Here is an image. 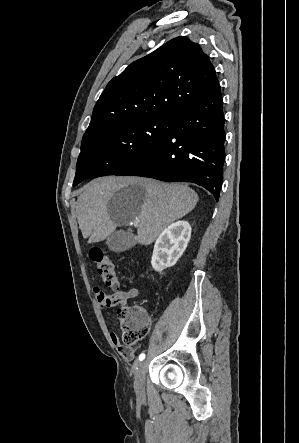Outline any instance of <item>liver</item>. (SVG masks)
I'll use <instances>...</instances> for the list:
<instances>
[{"mask_svg":"<svg viewBox=\"0 0 299 443\" xmlns=\"http://www.w3.org/2000/svg\"><path fill=\"white\" fill-rule=\"evenodd\" d=\"M197 202V193L187 185L107 176L81 189L76 215L83 238H88L90 244L103 241L118 226L138 218L137 243L150 245L168 225L191 212Z\"/></svg>","mask_w":299,"mask_h":443,"instance_id":"obj_1","label":"liver"}]
</instances>
